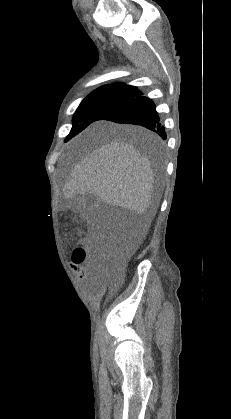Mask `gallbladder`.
<instances>
[{"label": "gallbladder", "mask_w": 231, "mask_h": 419, "mask_svg": "<svg viewBox=\"0 0 231 419\" xmlns=\"http://www.w3.org/2000/svg\"><path fill=\"white\" fill-rule=\"evenodd\" d=\"M82 204L86 207V208H93L96 206L97 204V198L92 195V194H86L83 197V201Z\"/></svg>", "instance_id": "1"}]
</instances>
